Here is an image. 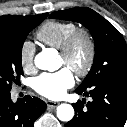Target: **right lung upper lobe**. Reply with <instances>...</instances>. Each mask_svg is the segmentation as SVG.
I'll list each match as a JSON object with an SVG mask.
<instances>
[{
  "mask_svg": "<svg viewBox=\"0 0 127 127\" xmlns=\"http://www.w3.org/2000/svg\"><path fill=\"white\" fill-rule=\"evenodd\" d=\"M43 15L47 17L48 13H44ZM36 16L4 15L0 17V27H12L18 24H22L35 18Z\"/></svg>",
  "mask_w": 127,
  "mask_h": 127,
  "instance_id": "1",
  "label": "right lung upper lobe"
}]
</instances>
